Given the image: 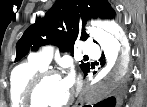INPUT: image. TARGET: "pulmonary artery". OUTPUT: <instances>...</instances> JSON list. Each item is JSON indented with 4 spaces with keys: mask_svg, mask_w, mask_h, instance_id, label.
<instances>
[{
    "mask_svg": "<svg viewBox=\"0 0 147 107\" xmlns=\"http://www.w3.org/2000/svg\"><path fill=\"white\" fill-rule=\"evenodd\" d=\"M52 51L53 50L51 48H46L40 53L34 54L33 60L40 63L43 66H47L51 61ZM83 51L85 54L91 57H98L100 54L99 47L89 42L83 45Z\"/></svg>",
    "mask_w": 147,
    "mask_h": 107,
    "instance_id": "pulmonary-artery-1",
    "label": "pulmonary artery"
}]
</instances>
